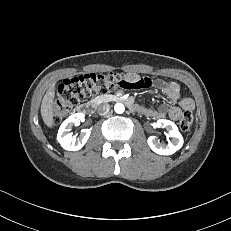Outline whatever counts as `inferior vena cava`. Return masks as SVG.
Returning <instances> with one entry per match:
<instances>
[{"instance_id":"inferior-vena-cava-1","label":"inferior vena cava","mask_w":231,"mask_h":231,"mask_svg":"<svg viewBox=\"0 0 231 231\" xmlns=\"http://www.w3.org/2000/svg\"><path fill=\"white\" fill-rule=\"evenodd\" d=\"M110 111V105L109 104H101L97 107V112L100 115H105Z\"/></svg>"}]
</instances>
